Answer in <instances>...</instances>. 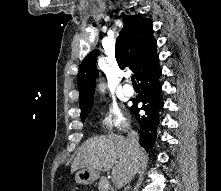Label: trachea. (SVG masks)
I'll return each instance as SVG.
<instances>
[{
	"mask_svg": "<svg viewBox=\"0 0 221 191\" xmlns=\"http://www.w3.org/2000/svg\"><path fill=\"white\" fill-rule=\"evenodd\" d=\"M131 80H132L133 84H136V81H135V78L133 75L131 76Z\"/></svg>",
	"mask_w": 221,
	"mask_h": 191,
	"instance_id": "1",
	"label": "trachea"
}]
</instances>
